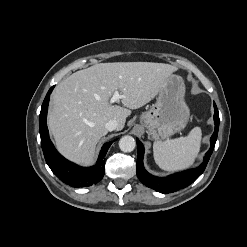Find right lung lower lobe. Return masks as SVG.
<instances>
[{"label":"right lung lower lobe","instance_id":"98d812e1","mask_svg":"<svg viewBox=\"0 0 247 247\" xmlns=\"http://www.w3.org/2000/svg\"><path fill=\"white\" fill-rule=\"evenodd\" d=\"M53 88L54 86L50 88L44 99L39 117L41 145L46 163L60 180L72 187H83L96 184L104 176V157L111 146L112 141L103 145L97 163L89 168L80 167L62 157L49 138L46 124L48 103Z\"/></svg>","mask_w":247,"mask_h":247}]
</instances>
